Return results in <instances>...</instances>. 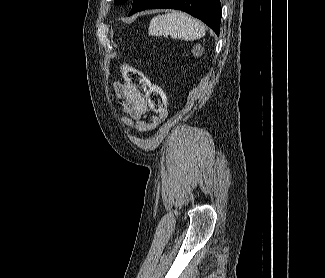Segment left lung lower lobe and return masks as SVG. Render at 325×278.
I'll return each instance as SVG.
<instances>
[{"label":"left lung lower lobe","instance_id":"obj_1","mask_svg":"<svg viewBox=\"0 0 325 278\" xmlns=\"http://www.w3.org/2000/svg\"><path fill=\"white\" fill-rule=\"evenodd\" d=\"M152 8H171L185 11L202 20L219 35L221 22L219 0H134L129 16L138 11Z\"/></svg>","mask_w":325,"mask_h":278}]
</instances>
